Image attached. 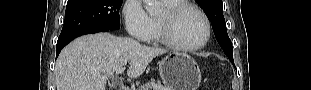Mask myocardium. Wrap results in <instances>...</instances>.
Instances as JSON below:
<instances>
[{"label":"myocardium","instance_id":"obj_1","mask_svg":"<svg viewBox=\"0 0 311 90\" xmlns=\"http://www.w3.org/2000/svg\"><path fill=\"white\" fill-rule=\"evenodd\" d=\"M187 9H191L200 15L205 24L206 30L204 38L199 43L192 46H183L178 44L173 38L172 34V28L175 20L184 10ZM158 29L160 41L164 45L172 50L183 53L194 52L203 48L211 37V23L208 16L200 8L187 2H181L180 4H177L173 7L166 8L158 17Z\"/></svg>","mask_w":311,"mask_h":90}]
</instances>
